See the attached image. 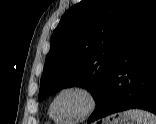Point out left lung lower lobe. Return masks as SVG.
<instances>
[{
  "label": "left lung lower lobe",
  "instance_id": "obj_1",
  "mask_svg": "<svg viewBox=\"0 0 156 124\" xmlns=\"http://www.w3.org/2000/svg\"><path fill=\"white\" fill-rule=\"evenodd\" d=\"M88 123L128 109L156 114V8L123 50Z\"/></svg>",
  "mask_w": 156,
  "mask_h": 124
}]
</instances>
